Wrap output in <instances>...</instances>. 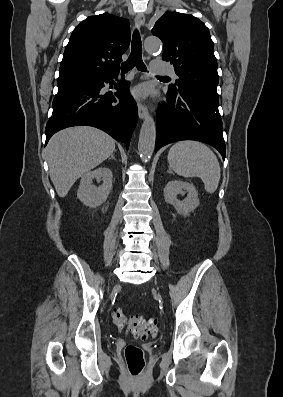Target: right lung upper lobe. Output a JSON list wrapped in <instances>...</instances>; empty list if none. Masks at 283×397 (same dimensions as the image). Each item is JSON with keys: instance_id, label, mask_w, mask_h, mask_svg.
Here are the masks:
<instances>
[{"instance_id": "obj_1", "label": "right lung upper lobe", "mask_w": 283, "mask_h": 397, "mask_svg": "<svg viewBox=\"0 0 283 397\" xmlns=\"http://www.w3.org/2000/svg\"><path fill=\"white\" fill-rule=\"evenodd\" d=\"M130 36L127 19L109 13L88 17L71 34L57 82L92 81L118 74Z\"/></svg>"}]
</instances>
